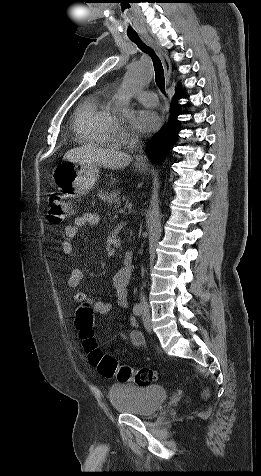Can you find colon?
<instances>
[{"label": "colon", "mask_w": 261, "mask_h": 476, "mask_svg": "<svg viewBox=\"0 0 261 476\" xmlns=\"http://www.w3.org/2000/svg\"><path fill=\"white\" fill-rule=\"evenodd\" d=\"M73 215V208L59 194L47 198V218L52 224H61ZM95 313L91 305L81 304L76 311L75 324L80 331L90 362L97 367L100 374L108 378H117L122 382L133 381L138 385H149L156 380V372L150 368H133L119 364L105 354L99 347L93 334Z\"/></svg>", "instance_id": "colon-1"}]
</instances>
